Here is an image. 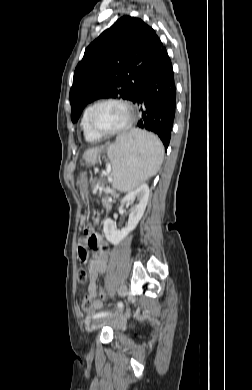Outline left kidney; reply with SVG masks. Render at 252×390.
<instances>
[{"mask_svg": "<svg viewBox=\"0 0 252 390\" xmlns=\"http://www.w3.org/2000/svg\"><path fill=\"white\" fill-rule=\"evenodd\" d=\"M149 197V187L147 184L140 185L136 190L127 194L122 200L121 204L126 206H131L129 219L127 226L121 230H117L115 222L107 218L104 221L103 232L107 241L117 245L119 244L126 236L136 228L138 222L142 218L144 211L147 206ZM137 199V204L133 205V202Z\"/></svg>", "mask_w": 252, "mask_h": 390, "instance_id": "5707ae66", "label": "left kidney"}]
</instances>
